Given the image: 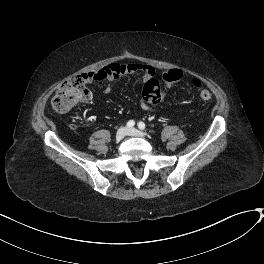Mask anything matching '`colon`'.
I'll use <instances>...</instances> for the list:
<instances>
[{"label": "colon", "mask_w": 264, "mask_h": 264, "mask_svg": "<svg viewBox=\"0 0 264 264\" xmlns=\"http://www.w3.org/2000/svg\"><path fill=\"white\" fill-rule=\"evenodd\" d=\"M182 78V72L178 69H169L161 75V82L155 78L148 79L143 85V94L151 101L161 100L168 87L178 83ZM199 88V96L203 101L211 98V93L205 88H201L198 81L193 82ZM93 97V92L87 86L82 77H73L61 83L56 89L51 106L56 112H68L89 102Z\"/></svg>", "instance_id": "colon-1"}]
</instances>
